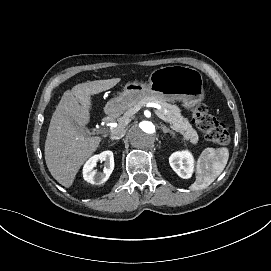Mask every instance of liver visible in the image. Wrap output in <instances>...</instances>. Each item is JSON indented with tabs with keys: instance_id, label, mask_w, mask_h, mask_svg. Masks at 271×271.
Segmentation results:
<instances>
[{
	"instance_id": "liver-1",
	"label": "liver",
	"mask_w": 271,
	"mask_h": 271,
	"mask_svg": "<svg viewBox=\"0 0 271 271\" xmlns=\"http://www.w3.org/2000/svg\"><path fill=\"white\" fill-rule=\"evenodd\" d=\"M120 82V78L81 83L64 92L52 115L45 141L47 167L62 186L69 188L79 168L96 151L100 137H84L71 118L80 126L90 120V96L106 91ZM83 130V129H81Z\"/></svg>"
}]
</instances>
